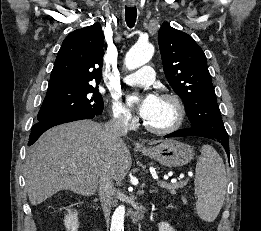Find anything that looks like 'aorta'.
<instances>
[{
  "instance_id": "aorta-1",
  "label": "aorta",
  "mask_w": 261,
  "mask_h": 231,
  "mask_svg": "<svg viewBox=\"0 0 261 231\" xmlns=\"http://www.w3.org/2000/svg\"><path fill=\"white\" fill-rule=\"evenodd\" d=\"M154 54V47L149 43H137L126 54L125 65L128 70H135L146 64ZM125 207L118 206L112 216L111 231H124Z\"/></svg>"
}]
</instances>
